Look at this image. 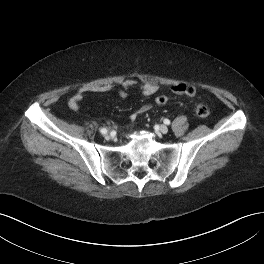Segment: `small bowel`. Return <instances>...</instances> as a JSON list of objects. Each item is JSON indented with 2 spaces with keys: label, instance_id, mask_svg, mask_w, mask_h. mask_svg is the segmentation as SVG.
<instances>
[{
  "label": "small bowel",
  "instance_id": "c3829d8e",
  "mask_svg": "<svg viewBox=\"0 0 264 264\" xmlns=\"http://www.w3.org/2000/svg\"><path fill=\"white\" fill-rule=\"evenodd\" d=\"M134 88H137L139 93L143 96H152L159 91V86L156 83H144L140 86H137L136 81L128 79L122 82L120 87H116L114 84H105L101 86L95 87H82L79 88L76 93L70 98L68 106L72 111H76L80 108V103L84 98V94L87 92H109V91H117L120 96L127 97L130 91ZM186 85L179 83L175 84L171 87V91L174 94H184ZM151 108V104H145L138 110V114L145 113ZM136 115L131 117V120H134Z\"/></svg>",
  "mask_w": 264,
  "mask_h": 264
}]
</instances>
